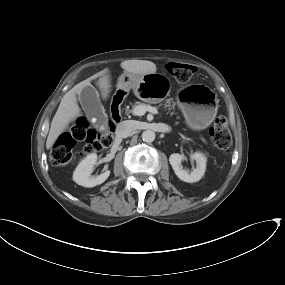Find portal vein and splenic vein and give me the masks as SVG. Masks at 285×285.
I'll return each instance as SVG.
<instances>
[{"label": "portal vein and splenic vein", "instance_id": "1", "mask_svg": "<svg viewBox=\"0 0 285 285\" xmlns=\"http://www.w3.org/2000/svg\"><path fill=\"white\" fill-rule=\"evenodd\" d=\"M134 114L137 116H143L147 111L152 114H157L158 110L155 107L147 105H138L134 108Z\"/></svg>", "mask_w": 285, "mask_h": 285}]
</instances>
